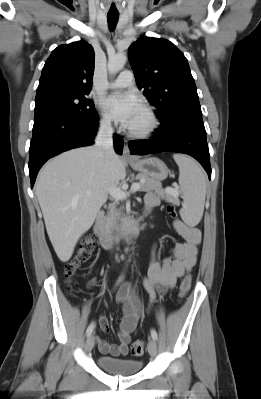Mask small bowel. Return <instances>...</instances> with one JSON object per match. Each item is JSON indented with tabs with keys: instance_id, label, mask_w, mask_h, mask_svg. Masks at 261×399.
<instances>
[{
	"instance_id": "1",
	"label": "small bowel",
	"mask_w": 261,
	"mask_h": 399,
	"mask_svg": "<svg viewBox=\"0 0 261 399\" xmlns=\"http://www.w3.org/2000/svg\"><path fill=\"white\" fill-rule=\"evenodd\" d=\"M159 204L160 199L155 193L146 194V210L149 211ZM173 226L185 241L173 245L169 255L162 260L157 258L156 249L153 250L148 274L143 280V286L149 294L151 303L155 300L156 291L165 292L173 288L177 278L191 270L197 261L198 248L202 240L200 230L180 220H175ZM116 302L123 306V317L118 328L119 344H112L99 337H96V341L102 354L123 356L128 353L131 335L142 315V304L129 282L120 287L116 294ZM99 325L103 332H109V322L105 316L100 317Z\"/></svg>"
}]
</instances>
